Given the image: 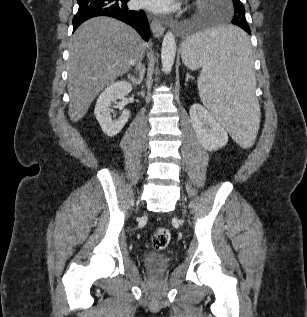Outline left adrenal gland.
I'll use <instances>...</instances> for the list:
<instances>
[{"instance_id": "a2214340", "label": "left adrenal gland", "mask_w": 307, "mask_h": 317, "mask_svg": "<svg viewBox=\"0 0 307 317\" xmlns=\"http://www.w3.org/2000/svg\"><path fill=\"white\" fill-rule=\"evenodd\" d=\"M191 78L190 75L187 73L186 75V82L188 81V79Z\"/></svg>"}]
</instances>
